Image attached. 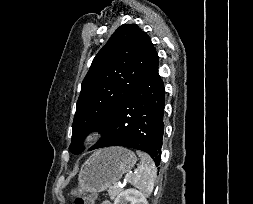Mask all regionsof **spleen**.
Segmentation results:
<instances>
[{"label":"spleen","instance_id":"3e777b00","mask_svg":"<svg viewBox=\"0 0 253 204\" xmlns=\"http://www.w3.org/2000/svg\"><path fill=\"white\" fill-rule=\"evenodd\" d=\"M140 157V163L134 173L125 176L127 182L140 189L145 194H150L154 189V182L157 175V169L151 157L144 152L137 151Z\"/></svg>","mask_w":253,"mask_h":204}]
</instances>
